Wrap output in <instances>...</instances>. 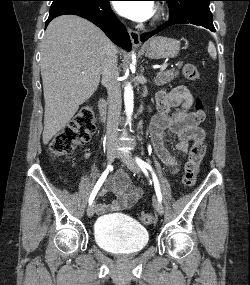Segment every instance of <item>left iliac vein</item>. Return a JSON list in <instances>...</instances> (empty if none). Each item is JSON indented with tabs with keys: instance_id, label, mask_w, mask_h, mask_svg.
<instances>
[{
	"instance_id": "left-iliac-vein-1",
	"label": "left iliac vein",
	"mask_w": 250,
	"mask_h": 285,
	"mask_svg": "<svg viewBox=\"0 0 250 285\" xmlns=\"http://www.w3.org/2000/svg\"><path fill=\"white\" fill-rule=\"evenodd\" d=\"M117 157L121 159L127 167L134 173H140V167L135 161L133 157H131L129 154L125 153H118ZM155 209L158 212V214L162 215L164 213V207L159 200H155Z\"/></svg>"
}]
</instances>
